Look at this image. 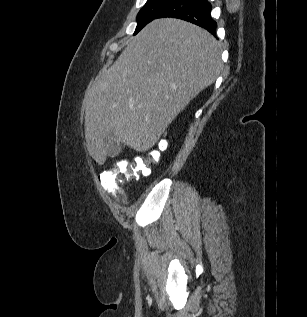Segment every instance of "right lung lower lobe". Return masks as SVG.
Returning <instances> with one entry per match:
<instances>
[{
  "label": "right lung lower lobe",
  "mask_w": 307,
  "mask_h": 317,
  "mask_svg": "<svg viewBox=\"0 0 307 317\" xmlns=\"http://www.w3.org/2000/svg\"><path fill=\"white\" fill-rule=\"evenodd\" d=\"M211 9L212 6L207 0H173L157 18L182 19L215 35L217 24L210 15Z\"/></svg>",
  "instance_id": "right-lung-lower-lobe-1"
}]
</instances>
